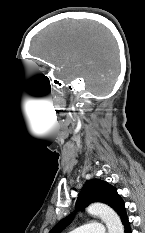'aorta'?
<instances>
[{
	"mask_svg": "<svg viewBox=\"0 0 145 233\" xmlns=\"http://www.w3.org/2000/svg\"><path fill=\"white\" fill-rule=\"evenodd\" d=\"M87 213L99 216L106 224L108 233H124V227L119 216L105 204L93 203L87 208Z\"/></svg>",
	"mask_w": 145,
	"mask_h": 233,
	"instance_id": "1",
	"label": "aorta"
}]
</instances>
